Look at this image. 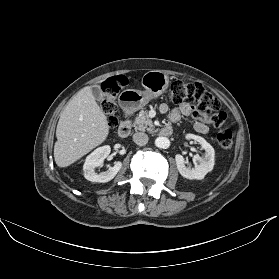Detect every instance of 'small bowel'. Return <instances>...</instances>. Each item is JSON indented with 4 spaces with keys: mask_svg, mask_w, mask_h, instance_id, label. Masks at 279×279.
Segmentation results:
<instances>
[{
    "mask_svg": "<svg viewBox=\"0 0 279 279\" xmlns=\"http://www.w3.org/2000/svg\"><path fill=\"white\" fill-rule=\"evenodd\" d=\"M159 111L163 114L169 113L170 121L176 123L181 120L182 117L190 116L193 114L192 108L187 103H182L178 107L170 108L168 104L162 103L159 106ZM194 129L201 133L206 134L209 131V127L203 122H196L194 124Z\"/></svg>",
    "mask_w": 279,
    "mask_h": 279,
    "instance_id": "1",
    "label": "small bowel"
}]
</instances>
